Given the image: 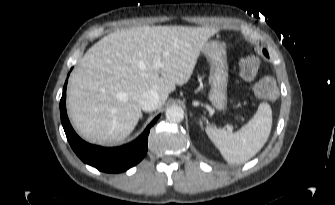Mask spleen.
Returning a JSON list of instances; mask_svg holds the SVG:
<instances>
[{
  "label": "spleen",
  "mask_w": 335,
  "mask_h": 205,
  "mask_svg": "<svg viewBox=\"0 0 335 205\" xmlns=\"http://www.w3.org/2000/svg\"><path fill=\"white\" fill-rule=\"evenodd\" d=\"M271 128L272 110L268 103L263 102L254 117L236 133L214 126H207L206 133L228 163L240 164L261 150Z\"/></svg>",
  "instance_id": "1"
}]
</instances>
